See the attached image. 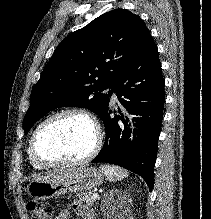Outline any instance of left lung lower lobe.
<instances>
[{"label": "left lung lower lobe", "mask_w": 211, "mask_h": 219, "mask_svg": "<svg viewBox=\"0 0 211 219\" xmlns=\"http://www.w3.org/2000/svg\"><path fill=\"white\" fill-rule=\"evenodd\" d=\"M164 86L158 49L150 35L142 50L120 74L110 91V95L112 92L116 93L128 113L141 116L135 124L137 129H134L131 138L129 118L121 110L119 116L111 118L112 110L107 108L100 116L106 131L105 143L92 161L126 168L140 175L150 190L154 185V165L165 103Z\"/></svg>", "instance_id": "0a47b994"}]
</instances>
